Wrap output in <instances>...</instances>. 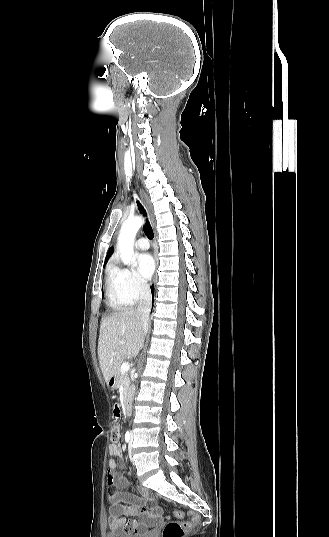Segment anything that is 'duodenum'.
Returning a JSON list of instances; mask_svg holds the SVG:
<instances>
[{"instance_id": "duodenum-1", "label": "duodenum", "mask_w": 329, "mask_h": 537, "mask_svg": "<svg viewBox=\"0 0 329 537\" xmlns=\"http://www.w3.org/2000/svg\"><path fill=\"white\" fill-rule=\"evenodd\" d=\"M109 386L110 387H114L115 386V380L114 379H111L110 382H109ZM123 408L125 410V412L127 414H129V410H130V407H129V404L127 402H124L123 403Z\"/></svg>"}]
</instances>
